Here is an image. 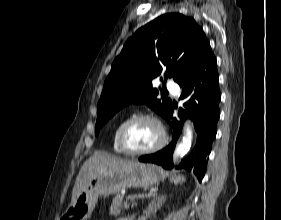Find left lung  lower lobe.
<instances>
[{"label":"left lung lower lobe","mask_w":281,"mask_h":220,"mask_svg":"<svg viewBox=\"0 0 281 220\" xmlns=\"http://www.w3.org/2000/svg\"><path fill=\"white\" fill-rule=\"evenodd\" d=\"M218 83L216 58L211 47H208L192 60L187 73L178 82L182 88L181 98L187 99V101L183 104L185 109H179V120L172 116L175 106L171 107L166 119L173 130L172 142L155 154L140 157L139 161L152 162L171 169L175 143L181 134L183 121L189 117L196 127L197 143L192 153L182 160L177 168L193 170L198 180L201 181L205 174L207 158L216 136L220 116L221 94Z\"/></svg>","instance_id":"obj_1"}]
</instances>
